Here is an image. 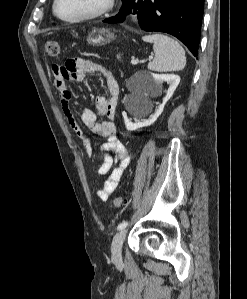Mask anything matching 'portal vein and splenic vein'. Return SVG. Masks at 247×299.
Returning a JSON list of instances; mask_svg holds the SVG:
<instances>
[{"label": "portal vein and splenic vein", "instance_id": "portal-vein-and-splenic-vein-1", "mask_svg": "<svg viewBox=\"0 0 247 299\" xmlns=\"http://www.w3.org/2000/svg\"><path fill=\"white\" fill-rule=\"evenodd\" d=\"M138 60L137 59H134V58H132V60H131V63L133 64V65H136V64H138Z\"/></svg>", "mask_w": 247, "mask_h": 299}]
</instances>
